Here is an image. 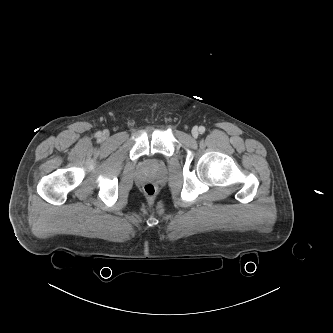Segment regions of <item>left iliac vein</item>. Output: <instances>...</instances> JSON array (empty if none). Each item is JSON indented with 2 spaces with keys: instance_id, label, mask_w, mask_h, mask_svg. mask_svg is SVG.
<instances>
[{
  "instance_id": "obj_1",
  "label": "left iliac vein",
  "mask_w": 333,
  "mask_h": 333,
  "mask_svg": "<svg viewBox=\"0 0 333 333\" xmlns=\"http://www.w3.org/2000/svg\"><path fill=\"white\" fill-rule=\"evenodd\" d=\"M192 135H193V137H195V138L198 137V135H199V130H198L197 127H195V128L192 129Z\"/></svg>"
}]
</instances>
